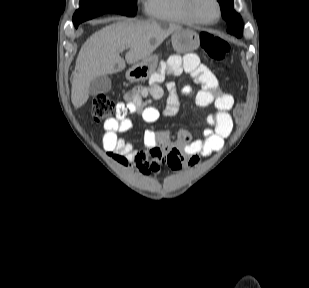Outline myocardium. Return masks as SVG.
Here are the masks:
<instances>
[{
  "label": "myocardium",
  "mask_w": 309,
  "mask_h": 288,
  "mask_svg": "<svg viewBox=\"0 0 309 288\" xmlns=\"http://www.w3.org/2000/svg\"><path fill=\"white\" fill-rule=\"evenodd\" d=\"M214 2L218 9V16L214 21H206L198 15L196 11V6H195L196 0H186V10L189 16L193 19V21L196 24L204 25V26L214 25V24H217L221 20L222 14H223L222 5H221L220 0H214Z\"/></svg>",
  "instance_id": "obj_1"
}]
</instances>
